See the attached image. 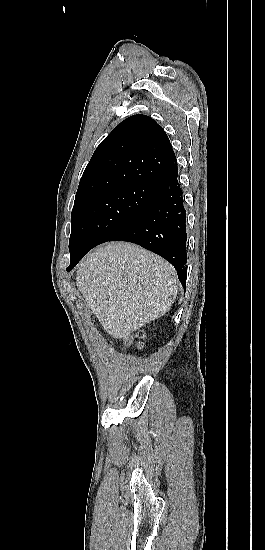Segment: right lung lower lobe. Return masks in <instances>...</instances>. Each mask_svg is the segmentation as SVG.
<instances>
[{"label":"right lung lower lobe","mask_w":265,"mask_h":550,"mask_svg":"<svg viewBox=\"0 0 265 550\" xmlns=\"http://www.w3.org/2000/svg\"><path fill=\"white\" fill-rule=\"evenodd\" d=\"M177 175L176 166L161 180L139 217L109 241L136 243L162 256L175 267L184 286L187 278L186 213Z\"/></svg>","instance_id":"obj_1"}]
</instances>
